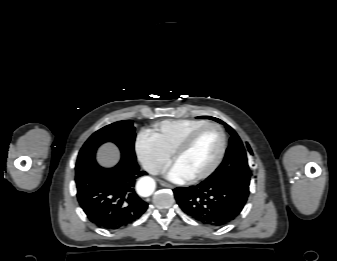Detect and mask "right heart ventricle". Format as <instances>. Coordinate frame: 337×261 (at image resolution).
<instances>
[{"instance_id": "e07e8e85", "label": "right heart ventricle", "mask_w": 337, "mask_h": 261, "mask_svg": "<svg viewBox=\"0 0 337 261\" xmlns=\"http://www.w3.org/2000/svg\"><path fill=\"white\" fill-rule=\"evenodd\" d=\"M206 123L199 119H169L156 123L150 134L169 154H172L182 139L196 127Z\"/></svg>"}]
</instances>
